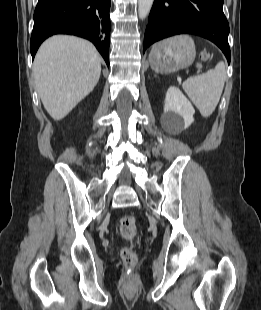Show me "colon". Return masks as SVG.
Wrapping results in <instances>:
<instances>
[{"mask_svg": "<svg viewBox=\"0 0 261 310\" xmlns=\"http://www.w3.org/2000/svg\"><path fill=\"white\" fill-rule=\"evenodd\" d=\"M119 231L124 239L131 242L138 234L136 218L132 215L123 216L119 222ZM120 255L123 263L128 267L134 266L137 262V255L132 245L124 247Z\"/></svg>", "mask_w": 261, "mask_h": 310, "instance_id": "5ec220e1", "label": "colon"}]
</instances>
